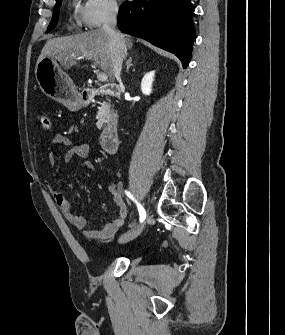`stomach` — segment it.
I'll use <instances>...</instances> for the list:
<instances>
[{
    "label": "stomach",
    "instance_id": "obj_1",
    "mask_svg": "<svg viewBox=\"0 0 285 335\" xmlns=\"http://www.w3.org/2000/svg\"><path fill=\"white\" fill-rule=\"evenodd\" d=\"M35 78L40 90L52 100L65 104L70 110L81 108V94L77 92L71 78L61 70L54 58L43 56L42 60H38Z\"/></svg>",
    "mask_w": 285,
    "mask_h": 335
}]
</instances>
